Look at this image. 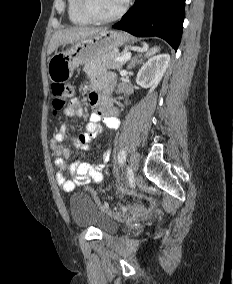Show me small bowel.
<instances>
[{
    "label": "small bowel",
    "instance_id": "1",
    "mask_svg": "<svg viewBox=\"0 0 233 284\" xmlns=\"http://www.w3.org/2000/svg\"><path fill=\"white\" fill-rule=\"evenodd\" d=\"M114 78L112 75H106L102 78L94 79L91 83L94 91L89 95V103L94 111L90 114L89 122L86 125V130L75 141L76 146L85 147L98 134L100 123L103 122L106 126L117 129L119 121L115 117L116 111L111 106L108 99V90L112 86ZM64 114L67 117L82 116L83 109L80 101L77 98L70 99ZM67 138V125L60 126L57 133L51 139L50 148L54 153V163L58 168L56 174L57 183L66 192H71L75 187L88 184H100L104 180L103 169L107 163L110 152L106 151L102 157V163L92 165L84 161H76L69 167L66 165L65 158L69 155V149L61 145ZM70 171L73 179L68 180L66 173Z\"/></svg>",
    "mask_w": 233,
    "mask_h": 284
}]
</instances>
